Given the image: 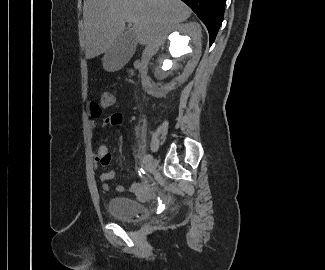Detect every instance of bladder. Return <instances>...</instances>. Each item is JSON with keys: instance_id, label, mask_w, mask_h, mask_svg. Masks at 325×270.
Here are the masks:
<instances>
[{"instance_id": "obj_1", "label": "bladder", "mask_w": 325, "mask_h": 270, "mask_svg": "<svg viewBox=\"0 0 325 270\" xmlns=\"http://www.w3.org/2000/svg\"><path fill=\"white\" fill-rule=\"evenodd\" d=\"M109 213L116 219L133 222L147 218V207L139 201L124 197H111L107 203Z\"/></svg>"}]
</instances>
